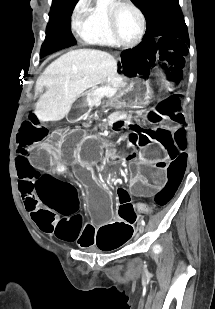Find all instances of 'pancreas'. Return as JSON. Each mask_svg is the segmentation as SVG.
<instances>
[{"instance_id": "pancreas-1", "label": "pancreas", "mask_w": 215, "mask_h": 309, "mask_svg": "<svg viewBox=\"0 0 215 309\" xmlns=\"http://www.w3.org/2000/svg\"><path fill=\"white\" fill-rule=\"evenodd\" d=\"M126 84L127 82H125V80H110V78L103 80L100 86H93V88H90V90L85 92V96L88 98L89 106H98L102 98H109L110 104H112V106H116L118 96H113V94L118 92V90H121V88H124ZM102 88H114V92H108V94H105Z\"/></svg>"}]
</instances>
